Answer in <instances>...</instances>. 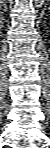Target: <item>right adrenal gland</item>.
Segmentation results:
<instances>
[{"instance_id":"2a0ac1e0","label":"right adrenal gland","mask_w":50,"mask_h":148,"mask_svg":"<svg viewBox=\"0 0 50 148\" xmlns=\"http://www.w3.org/2000/svg\"><path fill=\"white\" fill-rule=\"evenodd\" d=\"M1 7L4 8V11H7V6H6V3L4 1L1 2Z\"/></svg>"}]
</instances>
